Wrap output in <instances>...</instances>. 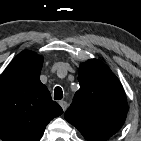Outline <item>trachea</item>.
<instances>
[{
    "instance_id": "3493384b",
    "label": "trachea",
    "mask_w": 141,
    "mask_h": 141,
    "mask_svg": "<svg viewBox=\"0 0 141 141\" xmlns=\"http://www.w3.org/2000/svg\"><path fill=\"white\" fill-rule=\"evenodd\" d=\"M63 97V91L61 87L57 86L54 90V99L55 100H60Z\"/></svg>"
}]
</instances>
